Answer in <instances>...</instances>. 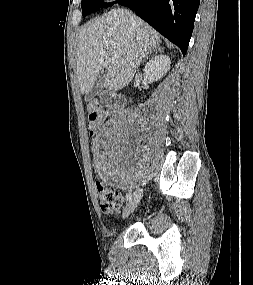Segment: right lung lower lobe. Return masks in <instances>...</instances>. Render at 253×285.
I'll return each instance as SVG.
<instances>
[{"label": "right lung lower lobe", "mask_w": 253, "mask_h": 285, "mask_svg": "<svg viewBox=\"0 0 253 285\" xmlns=\"http://www.w3.org/2000/svg\"><path fill=\"white\" fill-rule=\"evenodd\" d=\"M200 0H119L186 54Z\"/></svg>", "instance_id": "1"}]
</instances>
